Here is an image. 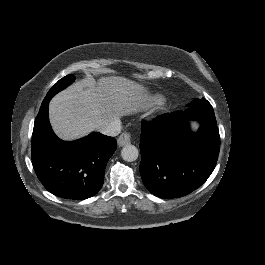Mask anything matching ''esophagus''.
Wrapping results in <instances>:
<instances>
[{
	"instance_id": "obj_1",
	"label": "esophagus",
	"mask_w": 265,
	"mask_h": 265,
	"mask_svg": "<svg viewBox=\"0 0 265 265\" xmlns=\"http://www.w3.org/2000/svg\"><path fill=\"white\" fill-rule=\"evenodd\" d=\"M131 142V134L128 132H123L117 139L118 146L122 147Z\"/></svg>"
}]
</instances>
